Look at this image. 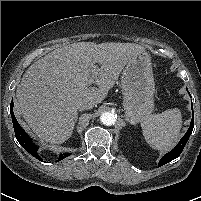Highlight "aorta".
<instances>
[{
  "label": "aorta",
  "instance_id": "762f6f07",
  "mask_svg": "<svg viewBox=\"0 0 201 201\" xmlns=\"http://www.w3.org/2000/svg\"><path fill=\"white\" fill-rule=\"evenodd\" d=\"M100 120L104 125L111 126V125L115 124L116 117H115L114 113L104 112L103 114H101Z\"/></svg>",
  "mask_w": 201,
  "mask_h": 201
}]
</instances>
